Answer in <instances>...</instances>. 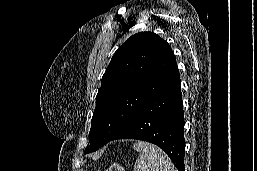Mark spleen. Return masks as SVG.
Here are the masks:
<instances>
[{
  "label": "spleen",
  "instance_id": "3e777b00",
  "mask_svg": "<svg viewBox=\"0 0 257 171\" xmlns=\"http://www.w3.org/2000/svg\"><path fill=\"white\" fill-rule=\"evenodd\" d=\"M133 149L140 152L134 171H177L170 158L157 146L138 141Z\"/></svg>",
  "mask_w": 257,
  "mask_h": 171
}]
</instances>
